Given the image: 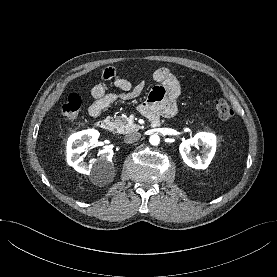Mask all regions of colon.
<instances>
[{
  "label": "colon",
  "mask_w": 277,
  "mask_h": 277,
  "mask_svg": "<svg viewBox=\"0 0 277 277\" xmlns=\"http://www.w3.org/2000/svg\"><path fill=\"white\" fill-rule=\"evenodd\" d=\"M82 106V99L78 94H70L66 102L61 107L63 116L68 119H75L78 117ZM214 113L222 121H227L233 116V111L224 99L216 100L214 104Z\"/></svg>",
  "instance_id": "colon-1"
}]
</instances>
